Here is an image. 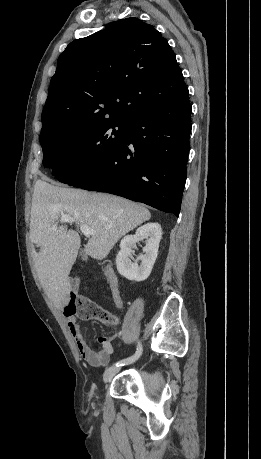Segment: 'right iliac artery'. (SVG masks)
Instances as JSON below:
<instances>
[{
    "label": "right iliac artery",
    "mask_w": 261,
    "mask_h": 459,
    "mask_svg": "<svg viewBox=\"0 0 261 459\" xmlns=\"http://www.w3.org/2000/svg\"><path fill=\"white\" fill-rule=\"evenodd\" d=\"M141 353H142V347H141L140 343H138L137 350H136V352H135V354L133 356H131V357L127 358V359H122L120 361H117L114 365L119 367V366H123V365L128 364V363H132V362L136 361L140 357Z\"/></svg>",
    "instance_id": "obj_1"
}]
</instances>
